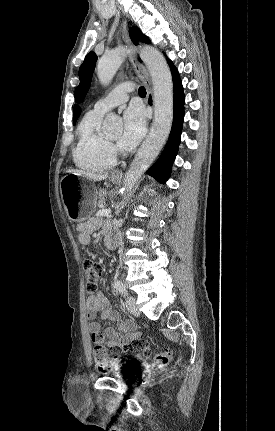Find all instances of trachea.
<instances>
[{"mask_svg":"<svg viewBox=\"0 0 275 431\" xmlns=\"http://www.w3.org/2000/svg\"><path fill=\"white\" fill-rule=\"evenodd\" d=\"M138 93H139V95H140V96H145V95H146V90H145V88H144V87H140V88L138 89Z\"/></svg>","mask_w":275,"mask_h":431,"instance_id":"obj_1","label":"trachea"}]
</instances>
